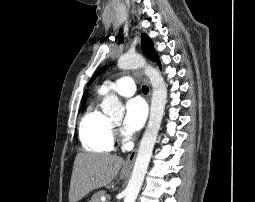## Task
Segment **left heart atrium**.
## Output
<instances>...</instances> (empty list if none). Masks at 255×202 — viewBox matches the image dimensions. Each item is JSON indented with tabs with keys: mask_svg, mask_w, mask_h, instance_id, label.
<instances>
[{
	"mask_svg": "<svg viewBox=\"0 0 255 202\" xmlns=\"http://www.w3.org/2000/svg\"><path fill=\"white\" fill-rule=\"evenodd\" d=\"M147 107L143 100L133 98L126 104V115L123 128L126 134H133L139 131L146 120Z\"/></svg>",
	"mask_w": 255,
	"mask_h": 202,
	"instance_id": "39dd6f15",
	"label": "left heart atrium"
}]
</instances>
